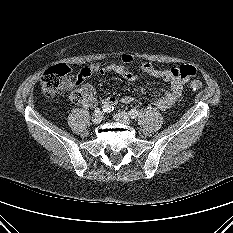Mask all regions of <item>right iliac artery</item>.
<instances>
[{"instance_id": "right-iliac-artery-1", "label": "right iliac artery", "mask_w": 233, "mask_h": 233, "mask_svg": "<svg viewBox=\"0 0 233 233\" xmlns=\"http://www.w3.org/2000/svg\"><path fill=\"white\" fill-rule=\"evenodd\" d=\"M102 110H103L104 113H110L111 111L114 110V107L107 104V105H103V106H102ZM99 111H100V110L98 109V110H96L95 112H99Z\"/></svg>"}]
</instances>
